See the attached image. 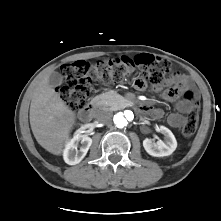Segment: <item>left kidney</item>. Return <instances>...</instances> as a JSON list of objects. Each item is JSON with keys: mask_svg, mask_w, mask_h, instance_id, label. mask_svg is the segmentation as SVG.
<instances>
[{"mask_svg": "<svg viewBox=\"0 0 221 221\" xmlns=\"http://www.w3.org/2000/svg\"><path fill=\"white\" fill-rule=\"evenodd\" d=\"M159 131L164 135L165 141L152 142L146 138L143 141V147L146 152L154 157H163L171 155L177 148V141L173 133L165 126H160Z\"/></svg>", "mask_w": 221, "mask_h": 221, "instance_id": "1", "label": "left kidney"}]
</instances>
